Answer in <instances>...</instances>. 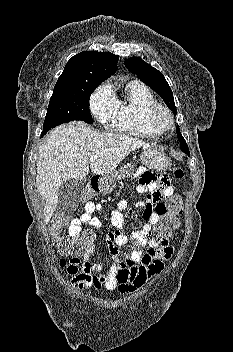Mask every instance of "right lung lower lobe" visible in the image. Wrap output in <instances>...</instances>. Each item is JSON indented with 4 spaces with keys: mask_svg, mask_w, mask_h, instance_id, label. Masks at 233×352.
Here are the masks:
<instances>
[{
    "mask_svg": "<svg viewBox=\"0 0 233 352\" xmlns=\"http://www.w3.org/2000/svg\"><path fill=\"white\" fill-rule=\"evenodd\" d=\"M46 133H47V132H43V133L41 134V137H43Z\"/></svg>",
    "mask_w": 233,
    "mask_h": 352,
    "instance_id": "right-lung-lower-lobe-1",
    "label": "right lung lower lobe"
}]
</instances>
